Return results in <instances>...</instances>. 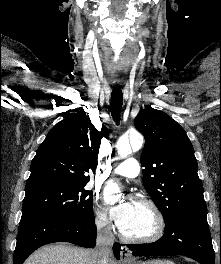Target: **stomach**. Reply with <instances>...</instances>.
Wrapping results in <instances>:
<instances>
[{
  "label": "stomach",
  "instance_id": "0dacf381",
  "mask_svg": "<svg viewBox=\"0 0 221 264\" xmlns=\"http://www.w3.org/2000/svg\"><path fill=\"white\" fill-rule=\"evenodd\" d=\"M136 264H175V263L170 260L156 259V260H150V261H145V262H138Z\"/></svg>",
  "mask_w": 221,
  "mask_h": 264
}]
</instances>
